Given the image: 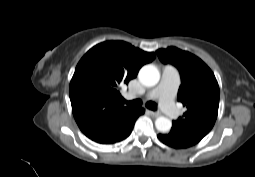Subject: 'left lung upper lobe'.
<instances>
[{
	"label": "left lung upper lobe",
	"instance_id": "obj_1",
	"mask_svg": "<svg viewBox=\"0 0 255 177\" xmlns=\"http://www.w3.org/2000/svg\"><path fill=\"white\" fill-rule=\"evenodd\" d=\"M164 64L180 72L178 98L187 111L173 121L176 128L202 139L213 128L219 107V86L211 69L198 57L176 47L156 51Z\"/></svg>",
	"mask_w": 255,
	"mask_h": 177
}]
</instances>
